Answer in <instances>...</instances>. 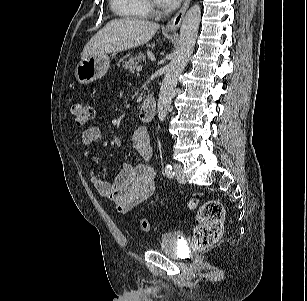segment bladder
Listing matches in <instances>:
<instances>
[{"instance_id": "1", "label": "bladder", "mask_w": 307, "mask_h": 301, "mask_svg": "<svg viewBox=\"0 0 307 301\" xmlns=\"http://www.w3.org/2000/svg\"><path fill=\"white\" fill-rule=\"evenodd\" d=\"M179 235L175 232H170L162 235L158 240L156 249L170 256H178L180 245L178 242Z\"/></svg>"}]
</instances>
